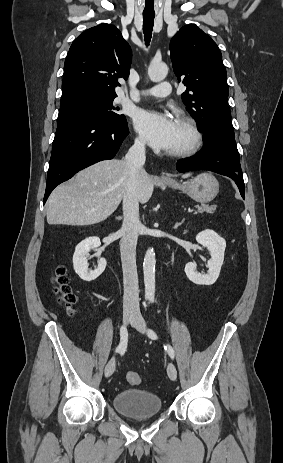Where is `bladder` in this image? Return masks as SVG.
<instances>
[{"label":"bladder","mask_w":283,"mask_h":463,"mask_svg":"<svg viewBox=\"0 0 283 463\" xmlns=\"http://www.w3.org/2000/svg\"><path fill=\"white\" fill-rule=\"evenodd\" d=\"M112 405L119 414L132 419L155 416L163 408L159 396L142 389H126L116 393Z\"/></svg>","instance_id":"31cf9c89"}]
</instances>
